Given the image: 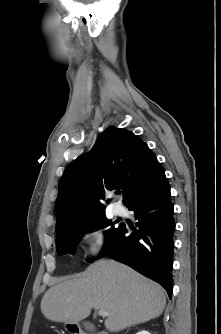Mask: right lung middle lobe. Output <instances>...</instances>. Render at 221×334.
Wrapping results in <instances>:
<instances>
[{"label": "right lung middle lobe", "instance_id": "right-lung-middle-lobe-1", "mask_svg": "<svg viewBox=\"0 0 221 334\" xmlns=\"http://www.w3.org/2000/svg\"><path fill=\"white\" fill-rule=\"evenodd\" d=\"M112 224L105 215L98 216L85 223L76 224L66 228L60 235L56 237V248L59 255L65 253H72L78 240L84 232L105 228ZM123 225L120 224L118 228L112 226L105 233L104 250L107 249L117 238Z\"/></svg>", "mask_w": 221, "mask_h": 334}]
</instances>
